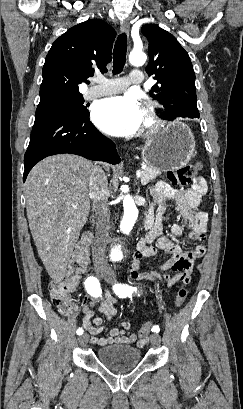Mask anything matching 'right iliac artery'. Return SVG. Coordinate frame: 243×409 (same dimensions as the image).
<instances>
[{
    "label": "right iliac artery",
    "instance_id": "obj_1",
    "mask_svg": "<svg viewBox=\"0 0 243 409\" xmlns=\"http://www.w3.org/2000/svg\"><path fill=\"white\" fill-rule=\"evenodd\" d=\"M85 288L87 292L93 296V297H99L102 293L101 288H100V283L99 280L93 276L88 277L85 281ZM77 334L82 335L83 334V329L78 328L77 329Z\"/></svg>",
    "mask_w": 243,
    "mask_h": 409
}]
</instances>
